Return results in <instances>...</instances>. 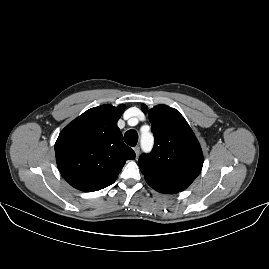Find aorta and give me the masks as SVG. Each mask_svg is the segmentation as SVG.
Instances as JSON below:
<instances>
[{
	"mask_svg": "<svg viewBox=\"0 0 269 269\" xmlns=\"http://www.w3.org/2000/svg\"><path fill=\"white\" fill-rule=\"evenodd\" d=\"M140 144L144 152H150L154 144V137L152 133L148 131H143L141 134Z\"/></svg>",
	"mask_w": 269,
	"mask_h": 269,
	"instance_id": "obj_1",
	"label": "aorta"
}]
</instances>
